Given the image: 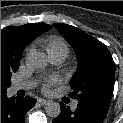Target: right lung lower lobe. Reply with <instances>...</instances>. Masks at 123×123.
I'll use <instances>...</instances> for the list:
<instances>
[{"mask_svg":"<svg viewBox=\"0 0 123 123\" xmlns=\"http://www.w3.org/2000/svg\"><path fill=\"white\" fill-rule=\"evenodd\" d=\"M36 103L31 97L8 98L1 95V123H24L25 114Z\"/></svg>","mask_w":123,"mask_h":123,"instance_id":"98d812e1","label":"right lung lower lobe"}]
</instances>
